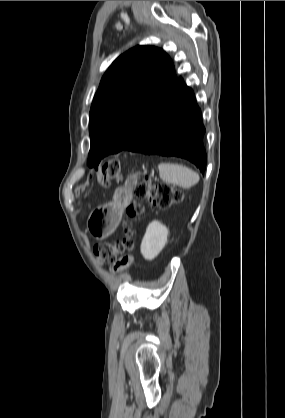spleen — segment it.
<instances>
[{
	"label": "spleen",
	"instance_id": "spleen-1",
	"mask_svg": "<svg viewBox=\"0 0 285 418\" xmlns=\"http://www.w3.org/2000/svg\"><path fill=\"white\" fill-rule=\"evenodd\" d=\"M158 170L163 181L182 188H190L199 182V175L195 171L180 164L160 163Z\"/></svg>",
	"mask_w": 285,
	"mask_h": 418
}]
</instances>
